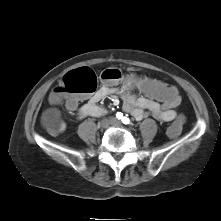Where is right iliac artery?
I'll return each instance as SVG.
<instances>
[{"mask_svg":"<svg viewBox=\"0 0 221 221\" xmlns=\"http://www.w3.org/2000/svg\"><path fill=\"white\" fill-rule=\"evenodd\" d=\"M116 117H117V119H122L123 114H122L121 112H118V113L116 114Z\"/></svg>","mask_w":221,"mask_h":221,"instance_id":"1","label":"right iliac artery"}]
</instances>
